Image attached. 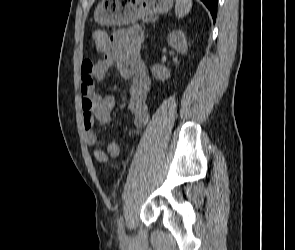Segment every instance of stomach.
I'll use <instances>...</instances> for the list:
<instances>
[{
  "label": "stomach",
  "mask_w": 295,
  "mask_h": 250,
  "mask_svg": "<svg viewBox=\"0 0 295 250\" xmlns=\"http://www.w3.org/2000/svg\"><path fill=\"white\" fill-rule=\"evenodd\" d=\"M172 6L173 0H102L94 11V20L106 26L125 25L166 13Z\"/></svg>",
  "instance_id": "obj_1"
}]
</instances>
